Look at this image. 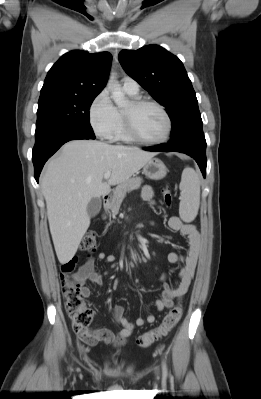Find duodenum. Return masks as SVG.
<instances>
[{"instance_id":"1","label":"duodenum","mask_w":261,"mask_h":399,"mask_svg":"<svg viewBox=\"0 0 261 399\" xmlns=\"http://www.w3.org/2000/svg\"><path fill=\"white\" fill-rule=\"evenodd\" d=\"M109 202H110V194H105L103 196V205L106 207L108 206Z\"/></svg>"}]
</instances>
